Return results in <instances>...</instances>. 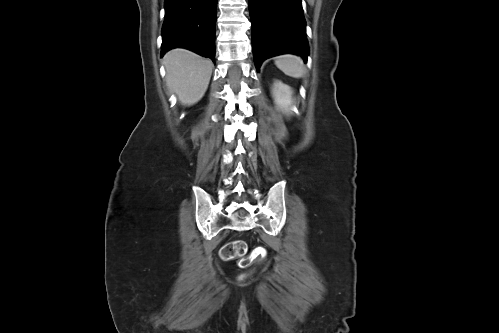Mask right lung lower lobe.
<instances>
[{"label":"right lung lower lobe","instance_id":"obj_1","mask_svg":"<svg viewBox=\"0 0 499 333\" xmlns=\"http://www.w3.org/2000/svg\"><path fill=\"white\" fill-rule=\"evenodd\" d=\"M217 0H165L161 56L186 48L215 61Z\"/></svg>","mask_w":499,"mask_h":333}]
</instances>
